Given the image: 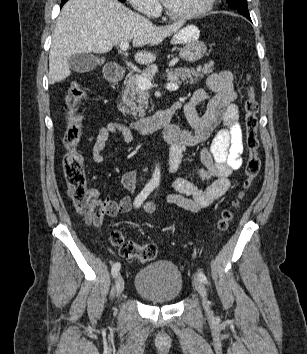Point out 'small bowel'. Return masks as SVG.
Here are the masks:
<instances>
[{
    "label": "small bowel",
    "instance_id": "1",
    "mask_svg": "<svg viewBox=\"0 0 307 354\" xmlns=\"http://www.w3.org/2000/svg\"><path fill=\"white\" fill-rule=\"evenodd\" d=\"M207 86L209 91L198 89L184 105H177L174 108V112L184 113L188 127L171 125L165 132L171 144L167 167L170 173L181 167L184 153L188 148L211 140L209 147L201 150L202 167L186 166L185 170L191 179L174 178L171 186L175 193L167 197L169 204L192 213L199 212L222 197L230 188V176L242 166L243 134L238 120V107L235 104L237 93L233 86V74L227 70L213 73L207 78ZM202 103L206 104V111L199 115L197 106ZM118 132L127 142L133 141L132 131L118 122H109L101 126L96 133L88 135L87 142L93 143L94 162H104L103 151L106 143L111 135ZM193 179L208 185L206 188H200ZM121 182L127 192L134 193L136 172H125ZM90 193L95 199L99 196L96 189H91ZM104 203L109 208L108 216L126 213L131 208V199L128 195L117 201L107 200ZM142 207L147 212L154 211V205L150 202Z\"/></svg>",
    "mask_w": 307,
    "mask_h": 354
}]
</instances>
